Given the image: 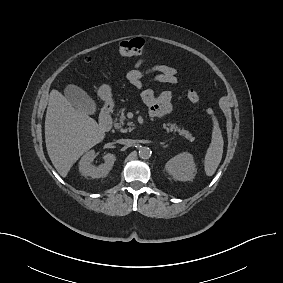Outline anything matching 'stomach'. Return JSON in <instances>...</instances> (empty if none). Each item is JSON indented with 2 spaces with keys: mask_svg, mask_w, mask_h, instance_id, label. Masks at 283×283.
<instances>
[{
  "mask_svg": "<svg viewBox=\"0 0 283 283\" xmlns=\"http://www.w3.org/2000/svg\"><path fill=\"white\" fill-rule=\"evenodd\" d=\"M98 96L106 103L112 102L111 87L107 84H103L98 89Z\"/></svg>",
  "mask_w": 283,
  "mask_h": 283,
  "instance_id": "obj_1",
  "label": "stomach"
}]
</instances>
